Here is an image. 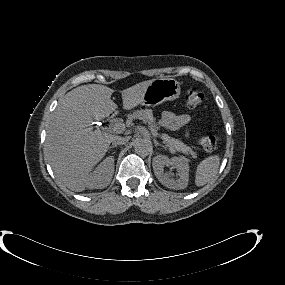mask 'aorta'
I'll return each mask as SVG.
<instances>
[{"label": "aorta", "mask_w": 285, "mask_h": 285, "mask_svg": "<svg viewBox=\"0 0 285 285\" xmlns=\"http://www.w3.org/2000/svg\"><path fill=\"white\" fill-rule=\"evenodd\" d=\"M134 147L136 153L143 156L148 155L152 150L151 142L146 139H137Z\"/></svg>", "instance_id": "aorta-1"}]
</instances>
